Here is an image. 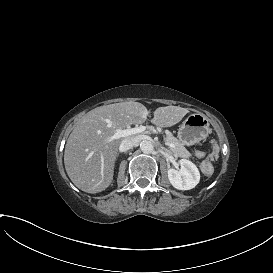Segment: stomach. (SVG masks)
<instances>
[{
    "mask_svg": "<svg viewBox=\"0 0 273 273\" xmlns=\"http://www.w3.org/2000/svg\"><path fill=\"white\" fill-rule=\"evenodd\" d=\"M210 133L209 119L201 113L190 114L179 126L177 138L183 146H194Z\"/></svg>",
    "mask_w": 273,
    "mask_h": 273,
    "instance_id": "stomach-1",
    "label": "stomach"
}]
</instances>
